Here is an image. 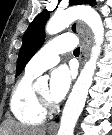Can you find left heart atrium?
<instances>
[{
	"instance_id": "left-heart-atrium-1",
	"label": "left heart atrium",
	"mask_w": 112,
	"mask_h": 135,
	"mask_svg": "<svg viewBox=\"0 0 112 135\" xmlns=\"http://www.w3.org/2000/svg\"><path fill=\"white\" fill-rule=\"evenodd\" d=\"M74 72L66 65L59 66L51 73L49 98L54 102L61 101L67 94Z\"/></svg>"
}]
</instances>
